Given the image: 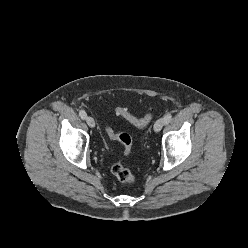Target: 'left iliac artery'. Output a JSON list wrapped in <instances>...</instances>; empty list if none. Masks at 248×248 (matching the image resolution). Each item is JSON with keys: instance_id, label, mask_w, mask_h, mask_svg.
<instances>
[{"instance_id": "1", "label": "left iliac artery", "mask_w": 248, "mask_h": 248, "mask_svg": "<svg viewBox=\"0 0 248 248\" xmlns=\"http://www.w3.org/2000/svg\"><path fill=\"white\" fill-rule=\"evenodd\" d=\"M172 119V115L171 113H167L165 116H164V121H165V124H168Z\"/></svg>"}]
</instances>
